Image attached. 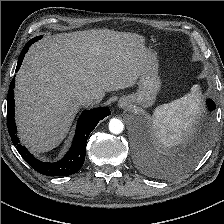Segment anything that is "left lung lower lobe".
Wrapping results in <instances>:
<instances>
[{
    "label": "left lung lower lobe",
    "instance_id": "0a47b994",
    "mask_svg": "<svg viewBox=\"0 0 224 224\" xmlns=\"http://www.w3.org/2000/svg\"><path fill=\"white\" fill-rule=\"evenodd\" d=\"M207 103H208V110L209 111H213V110L216 109V105L211 99H207Z\"/></svg>",
    "mask_w": 224,
    "mask_h": 224
}]
</instances>
